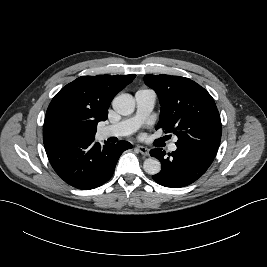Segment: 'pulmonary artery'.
Listing matches in <instances>:
<instances>
[{"label": "pulmonary artery", "mask_w": 267, "mask_h": 267, "mask_svg": "<svg viewBox=\"0 0 267 267\" xmlns=\"http://www.w3.org/2000/svg\"><path fill=\"white\" fill-rule=\"evenodd\" d=\"M135 101L137 105L136 114L114 125L101 128L99 130V136L102 139L109 137H121L133 133L153 110L156 95L151 90H140L135 94ZM176 141L177 138H174L173 142L169 145L170 151H176Z\"/></svg>", "instance_id": "pulmonary-artery-1"}]
</instances>
